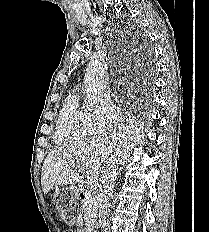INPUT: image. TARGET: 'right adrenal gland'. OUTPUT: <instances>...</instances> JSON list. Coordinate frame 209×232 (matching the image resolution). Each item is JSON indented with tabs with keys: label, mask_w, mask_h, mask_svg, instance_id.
Listing matches in <instances>:
<instances>
[{
	"label": "right adrenal gland",
	"mask_w": 209,
	"mask_h": 232,
	"mask_svg": "<svg viewBox=\"0 0 209 232\" xmlns=\"http://www.w3.org/2000/svg\"><path fill=\"white\" fill-rule=\"evenodd\" d=\"M119 174H120V170L117 172V175H119ZM117 175H116V176H117Z\"/></svg>",
	"instance_id": "2a0ac1e0"
}]
</instances>
